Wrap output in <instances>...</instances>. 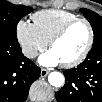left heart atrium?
<instances>
[{"label": "left heart atrium", "mask_w": 102, "mask_h": 102, "mask_svg": "<svg viewBox=\"0 0 102 102\" xmlns=\"http://www.w3.org/2000/svg\"><path fill=\"white\" fill-rule=\"evenodd\" d=\"M38 61L43 66H54L61 63L58 57L51 50L43 53L39 57Z\"/></svg>", "instance_id": "left-heart-atrium-1"}]
</instances>
